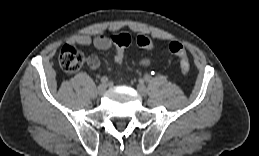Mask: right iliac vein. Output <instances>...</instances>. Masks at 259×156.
Segmentation results:
<instances>
[{"label":"right iliac vein","instance_id":"obj_1","mask_svg":"<svg viewBox=\"0 0 259 156\" xmlns=\"http://www.w3.org/2000/svg\"><path fill=\"white\" fill-rule=\"evenodd\" d=\"M106 88H107V86H106L105 84H100V85L97 87V93H98V94H103V93H105Z\"/></svg>","mask_w":259,"mask_h":156}]
</instances>
